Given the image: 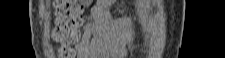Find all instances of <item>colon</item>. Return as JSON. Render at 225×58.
<instances>
[{"instance_id": "obj_1", "label": "colon", "mask_w": 225, "mask_h": 58, "mask_svg": "<svg viewBox=\"0 0 225 58\" xmlns=\"http://www.w3.org/2000/svg\"><path fill=\"white\" fill-rule=\"evenodd\" d=\"M87 1H56V20L53 38L60 43L59 57L73 58L71 45L78 39V27L82 22L83 3Z\"/></svg>"}]
</instances>
